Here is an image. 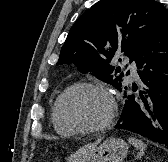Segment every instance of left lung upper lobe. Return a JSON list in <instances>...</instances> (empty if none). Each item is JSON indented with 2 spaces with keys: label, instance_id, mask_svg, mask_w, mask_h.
Masks as SVG:
<instances>
[{
  "label": "left lung upper lobe",
  "instance_id": "1",
  "mask_svg": "<svg viewBox=\"0 0 168 162\" xmlns=\"http://www.w3.org/2000/svg\"><path fill=\"white\" fill-rule=\"evenodd\" d=\"M167 15L156 0H101L72 26L57 65L73 63L121 90L125 83L111 60L120 50L132 62Z\"/></svg>",
  "mask_w": 168,
  "mask_h": 162
}]
</instances>
